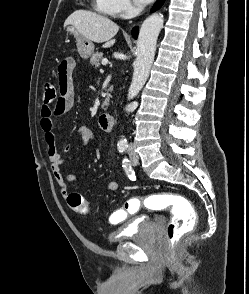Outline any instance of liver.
<instances>
[{"label": "liver", "mask_w": 249, "mask_h": 294, "mask_svg": "<svg viewBox=\"0 0 249 294\" xmlns=\"http://www.w3.org/2000/svg\"><path fill=\"white\" fill-rule=\"evenodd\" d=\"M72 25L86 39L96 43H105L104 48L111 47L119 27L110 19L88 10H77L65 21L64 26Z\"/></svg>", "instance_id": "liver-1"}]
</instances>
